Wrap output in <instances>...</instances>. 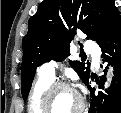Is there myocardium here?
Wrapping results in <instances>:
<instances>
[{"label": "myocardium", "instance_id": "myocardium-1", "mask_svg": "<svg viewBox=\"0 0 121 113\" xmlns=\"http://www.w3.org/2000/svg\"><path fill=\"white\" fill-rule=\"evenodd\" d=\"M69 90L72 93L75 94L77 98V106L71 110V113H77L81 110L84 109V98L82 94L79 92V90L73 86L70 83L63 82V81H57L54 83H51L46 90L44 91V98H43V109L45 110H53L54 105H55V100H54V94L58 92L59 90ZM50 113V112H46Z\"/></svg>", "mask_w": 121, "mask_h": 113}]
</instances>
